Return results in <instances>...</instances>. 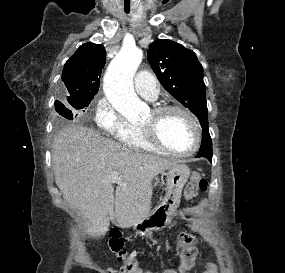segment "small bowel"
<instances>
[{
	"label": "small bowel",
	"instance_id": "1",
	"mask_svg": "<svg viewBox=\"0 0 285 273\" xmlns=\"http://www.w3.org/2000/svg\"><path fill=\"white\" fill-rule=\"evenodd\" d=\"M143 273H152L150 271H146ZM156 273H177L175 270L171 269V268H168V267H165V266H162L159 271H157ZM203 273H217V268L215 266V264L213 263H208L207 264V270L204 271Z\"/></svg>",
	"mask_w": 285,
	"mask_h": 273
}]
</instances>
